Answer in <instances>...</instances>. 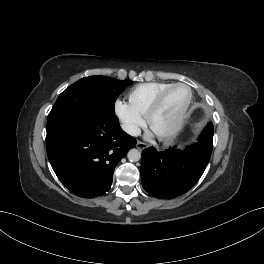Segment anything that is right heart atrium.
Wrapping results in <instances>:
<instances>
[{
	"instance_id": "obj_1",
	"label": "right heart atrium",
	"mask_w": 264,
	"mask_h": 264,
	"mask_svg": "<svg viewBox=\"0 0 264 264\" xmlns=\"http://www.w3.org/2000/svg\"><path fill=\"white\" fill-rule=\"evenodd\" d=\"M115 112L118 116L123 130L129 135H136L143 124L142 116L135 112L129 104L116 101Z\"/></svg>"
}]
</instances>
